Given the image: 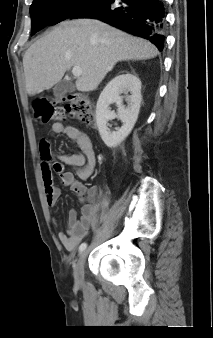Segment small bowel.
<instances>
[{
	"label": "small bowel",
	"instance_id": "small-bowel-1",
	"mask_svg": "<svg viewBox=\"0 0 213 338\" xmlns=\"http://www.w3.org/2000/svg\"><path fill=\"white\" fill-rule=\"evenodd\" d=\"M51 135L65 134L79 147L74 154L56 153L51 150L49 140L42 137L38 142L40 152V168L43 178L44 193L47 205L54 207L61 195V190L55 184L52 172L60 181L68 186L83 202L81 215L75 212L68 215L66 232L58 234V239L66 250L72 252L87 237L95 216L96 196L98 189L88 187L82 182L90 177L95 166V153L91 139L81 130L72 125L55 122L50 126ZM65 165L74 168L75 172L67 171ZM57 222V219L54 218Z\"/></svg>",
	"mask_w": 213,
	"mask_h": 338
}]
</instances>
